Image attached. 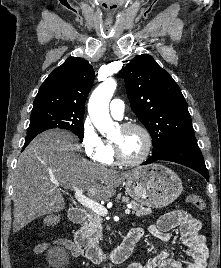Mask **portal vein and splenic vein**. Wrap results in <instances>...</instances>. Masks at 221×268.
<instances>
[{"mask_svg": "<svg viewBox=\"0 0 221 268\" xmlns=\"http://www.w3.org/2000/svg\"><path fill=\"white\" fill-rule=\"evenodd\" d=\"M75 199L79 203H81L83 206L91 209L97 215L105 216L108 214L107 209L103 205H101L97 201L92 200V199L86 197L85 195H83L82 189H77L75 191ZM130 208H131V206H128V208L125 209V214H130V212H131Z\"/></svg>", "mask_w": 221, "mask_h": 268, "instance_id": "obj_1", "label": "portal vein and splenic vein"}]
</instances>
